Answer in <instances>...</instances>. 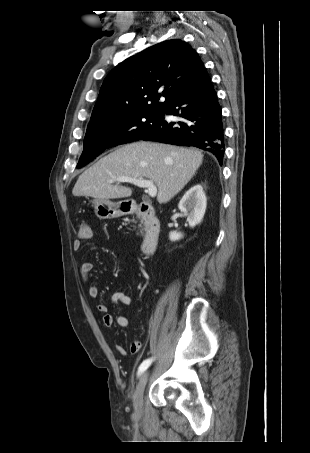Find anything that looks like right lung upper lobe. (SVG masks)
I'll use <instances>...</instances> for the list:
<instances>
[{"label":"right lung upper lobe","instance_id":"right-lung-upper-lobe-1","mask_svg":"<svg viewBox=\"0 0 310 453\" xmlns=\"http://www.w3.org/2000/svg\"><path fill=\"white\" fill-rule=\"evenodd\" d=\"M204 69L197 52L182 40L151 46L124 60L107 75L89 124L134 111L163 110ZM161 97L165 99L160 101Z\"/></svg>","mask_w":310,"mask_h":453}]
</instances>
